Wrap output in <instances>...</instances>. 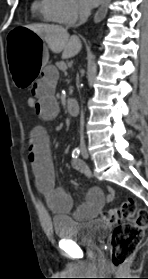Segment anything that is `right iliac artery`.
Instances as JSON below:
<instances>
[{
	"label": "right iliac artery",
	"mask_w": 148,
	"mask_h": 279,
	"mask_svg": "<svg viewBox=\"0 0 148 279\" xmlns=\"http://www.w3.org/2000/svg\"><path fill=\"white\" fill-rule=\"evenodd\" d=\"M80 154V149L79 148H75L72 152V157L77 158Z\"/></svg>",
	"instance_id": "right-iliac-artery-1"
}]
</instances>
